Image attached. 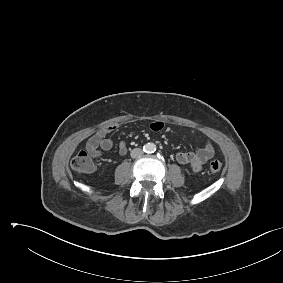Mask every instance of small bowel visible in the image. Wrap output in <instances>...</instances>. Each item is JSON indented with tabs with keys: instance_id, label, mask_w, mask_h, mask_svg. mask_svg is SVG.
<instances>
[{
	"instance_id": "c3829d8e",
	"label": "small bowel",
	"mask_w": 283,
	"mask_h": 283,
	"mask_svg": "<svg viewBox=\"0 0 283 283\" xmlns=\"http://www.w3.org/2000/svg\"><path fill=\"white\" fill-rule=\"evenodd\" d=\"M163 127V123L160 121H155L151 124V129L154 131H159ZM118 130L117 125H111L106 127L94 135H92L86 143V147L91 151L93 156H98L103 151H108L114 146L112 139L107 137L111 132ZM118 150L121 155L126 154L127 145L125 141H120L118 145ZM214 156V148L210 142H206L203 147L191 152H178L176 154V160L178 163L187 166L194 172H199L202 170L204 165Z\"/></svg>"
}]
</instances>
